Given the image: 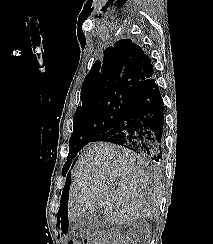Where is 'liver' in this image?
Masks as SVG:
<instances>
[{
    "instance_id": "1",
    "label": "liver",
    "mask_w": 213,
    "mask_h": 244,
    "mask_svg": "<svg viewBox=\"0 0 213 244\" xmlns=\"http://www.w3.org/2000/svg\"><path fill=\"white\" fill-rule=\"evenodd\" d=\"M159 176L145 159L110 143L89 145L74 169L69 198L71 222L99 209L107 223L129 224L157 215Z\"/></svg>"
}]
</instances>
